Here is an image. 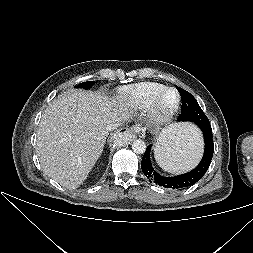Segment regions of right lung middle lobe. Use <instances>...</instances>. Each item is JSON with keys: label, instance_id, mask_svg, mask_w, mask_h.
<instances>
[{"label": "right lung middle lobe", "instance_id": "dd1d6c3e", "mask_svg": "<svg viewBox=\"0 0 253 253\" xmlns=\"http://www.w3.org/2000/svg\"><path fill=\"white\" fill-rule=\"evenodd\" d=\"M95 84V81H88L79 84V88L90 89Z\"/></svg>", "mask_w": 253, "mask_h": 253}]
</instances>
